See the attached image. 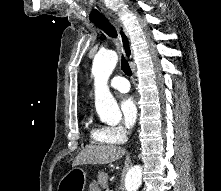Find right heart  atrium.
<instances>
[{
    "label": "right heart atrium",
    "mask_w": 221,
    "mask_h": 191,
    "mask_svg": "<svg viewBox=\"0 0 221 191\" xmlns=\"http://www.w3.org/2000/svg\"><path fill=\"white\" fill-rule=\"evenodd\" d=\"M102 134L112 143H124L127 139V131L121 126L103 127Z\"/></svg>",
    "instance_id": "1"
}]
</instances>
